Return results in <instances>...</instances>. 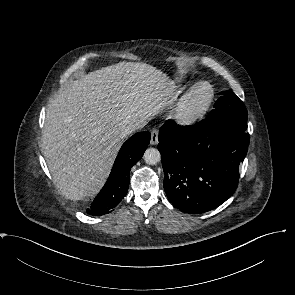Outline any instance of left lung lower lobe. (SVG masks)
<instances>
[{
	"label": "left lung lower lobe",
	"instance_id": "left-lung-lower-lobe-1",
	"mask_svg": "<svg viewBox=\"0 0 295 295\" xmlns=\"http://www.w3.org/2000/svg\"><path fill=\"white\" fill-rule=\"evenodd\" d=\"M247 126L206 117L191 126L168 120L160 128L158 150L169 201L198 214L220 206L235 192L239 165L249 145Z\"/></svg>",
	"mask_w": 295,
	"mask_h": 295
}]
</instances>
